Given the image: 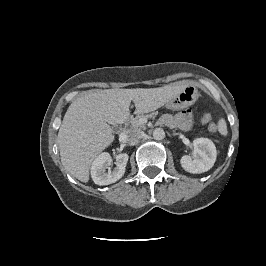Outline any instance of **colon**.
Here are the masks:
<instances>
[{"label": "colon", "mask_w": 266, "mask_h": 266, "mask_svg": "<svg viewBox=\"0 0 266 266\" xmlns=\"http://www.w3.org/2000/svg\"><path fill=\"white\" fill-rule=\"evenodd\" d=\"M211 115L209 113H205L202 115L201 120L205 124H209L208 128L211 132H215L217 130V127L214 123H211Z\"/></svg>", "instance_id": "obj_1"}]
</instances>
